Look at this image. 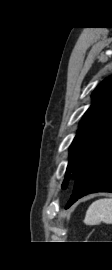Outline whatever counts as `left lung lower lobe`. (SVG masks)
<instances>
[{"mask_svg": "<svg viewBox=\"0 0 112 270\" xmlns=\"http://www.w3.org/2000/svg\"><path fill=\"white\" fill-rule=\"evenodd\" d=\"M93 192H112V149L76 179L66 208L84 195Z\"/></svg>", "mask_w": 112, "mask_h": 270, "instance_id": "1", "label": "left lung lower lobe"}]
</instances>
